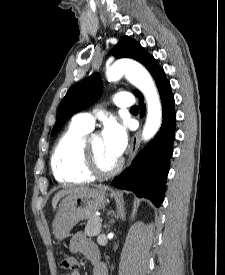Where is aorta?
Here are the masks:
<instances>
[{
	"instance_id": "762f6f07",
	"label": "aorta",
	"mask_w": 225,
	"mask_h": 275,
	"mask_svg": "<svg viewBox=\"0 0 225 275\" xmlns=\"http://www.w3.org/2000/svg\"><path fill=\"white\" fill-rule=\"evenodd\" d=\"M123 75L145 97L147 118L142 131V139L150 140L162 124V106L154 80L142 65L134 61H117L106 71L108 81H117Z\"/></svg>"
}]
</instances>
